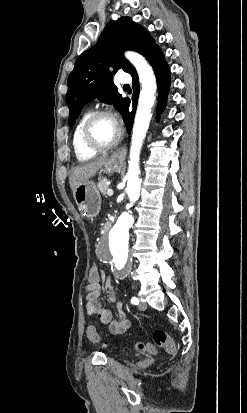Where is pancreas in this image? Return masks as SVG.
I'll use <instances>...</instances> for the list:
<instances>
[{
    "label": "pancreas",
    "instance_id": "obj_1",
    "mask_svg": "<svg viewBox=\"0 0 247 413\" xmlns=\"http://www.w3.org/2000/svg\"><path fill=\"white\" fill-rule=\"evenodd\" d=\"M107 182H108L107 178H100L98 182V190H100V192H102L104 196H106L107 190L109 188V184H107Z\"/></svg>",
    "mask_w": 247,
    "mask_h": 413
}]
</instances>
